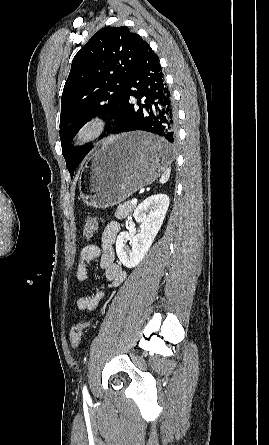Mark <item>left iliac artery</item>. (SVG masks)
I'll return each instance as SVG.
<instances>
[{"mask_svg": "<svg viewBox=\"0 0 269 445\" xmlns=\"http://www.w3.org/2000/svg\"><path fill=\"white\" fill-rule=\"evenodd\" d=\"M83 398L84 399H88L89 398V393H88V390H87L86 386L83 387Z\"/></svg>", "mask_w": 269, "mask_h": 445, "instance_id": "obj_1", "label": "left iliac artery"}]
</instances>
